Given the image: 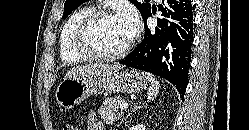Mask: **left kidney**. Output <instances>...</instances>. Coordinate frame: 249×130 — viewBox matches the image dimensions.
Returning <instances> with one entry per match:
<instances>
[{"mask_svg": "<svg viewBox=\"0 0 249 130\" xmlns=\"http://www.w3.org/2000/svg\"><path fill=\"white\" fill-rule=\"evenodd\" d=\"M145 129H146V127L143 124H138V125L132 126L130 128V130H145Z\"/></svg>", "mask_w": 249, "mask_h": 130, "instance_id": "5707ae66", "label": "left kidney"}]
</instances>
